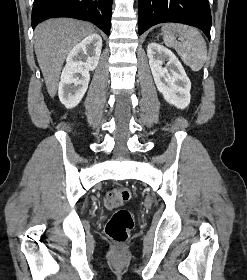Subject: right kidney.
Segmentation results:
<instances>
[{"mask_svg": "<svg viewBox=\"0 0 247 280\" xmlns=\"http://www.w3.org/2000/svg\"><path fill=\"white\" fill-rule=\"evenodd\" d=\"M101 48L102 38L99 34L93 33L68 53L58 87L59 99L66 108L78 105L86 93L90 81L89 71L97 67Z\"/></svg>", "mask_w": 247, "mask_h": 280, "instance_id": "ca27d5eb", "label": "right kidney"}]
</instances>
